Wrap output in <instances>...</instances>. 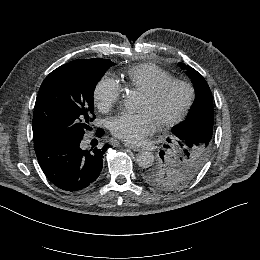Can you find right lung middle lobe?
Here are the masks:
<instances>
[{"mask_svg":"<svg viewBox=\"0 0 260 260\" xmlns=\"http://www.w3.org/2000/svg\"><path fill=\"white\" fill-rule=\"evenodd\" d=\"M111 61L64 64L43 81L33 114L34 146L56 140L82 139L94 112V89Z\"/></svg>","mask_w":260,"mask_h":260,"instance_id":"dd1d6c3e","label":"right lung middle lobe"}]
</instances>
